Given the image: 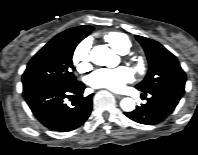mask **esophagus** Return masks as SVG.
Returning a JSON list of instances; mask_svg holds the SVG:
<instances>
[{"mask_svg": "<svg viewBox=\"0 0 198 155\" xmlns=\"http://www.w3.org/2000/svg\"><path fill=\"white\" fill-rule=\"evenodd\" d=\"M115 97H116L117 99H122L124 96H123V95H120V94H115Z\"/></svg>", "mask_w": 198, "mask_h": 155, "instance_id": "esophagus-1", "label": "esophagus"}]
</instances>
